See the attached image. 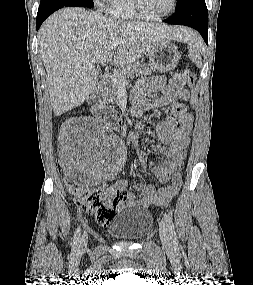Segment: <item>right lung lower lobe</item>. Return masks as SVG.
<instances>
[{"label":"right lung lower lobe","instance_id":"obj_1","mask_svg":"<svg viewBox=\"0 0 253 285\" xmlns=\"http://www.w3.org/2000/svg\"><path fill=\"white\" fill-rule=\"evenodd\" d=\"M68 6H77V5H63V4H56V3H47L44 5H40L38 13H37V21H36L37 30L39 29V27L41 26L43 21L50 14H52L54 11H56L62 7H68ZM78 7H82V6H78Z\"/></svg>","mask_w":253,"mask_h":285}]
</instances>
